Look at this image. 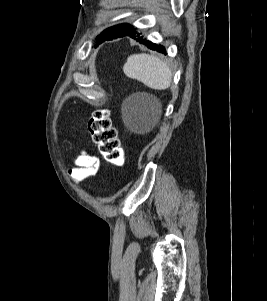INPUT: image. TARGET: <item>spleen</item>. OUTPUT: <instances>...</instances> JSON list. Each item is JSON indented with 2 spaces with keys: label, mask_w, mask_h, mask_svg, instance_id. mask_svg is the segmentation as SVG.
<instances>
[{
  "label": "spleen",
  "mask_w": 267,
  "mask_h": 301,
  "mask_svg": "<svg viewBox=\"0 0 267 301\" xmlns=\"http://www.w3.org/2000/svg\"><path fill=\"white\" fill-rule=\"evenodd\" d=\"M123 71L127 77L155 90L169 88L172 81V72L168 65L157 56L145 53L130 55Z\"/></svg>",
  "instance_id": "3e777b00"
}]
</instances>
